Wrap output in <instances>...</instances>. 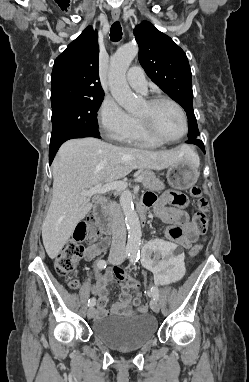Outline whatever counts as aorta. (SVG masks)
I'll use <instances>...</instances> for the list:
<instances>
[{
	"label": "aorta",
	"mask_w": 249,
	"mask_h": 382,
	"mask_svg": "<svg viewBox=\"0 0 249 382\" xmlns=\"http://www.w3.org/2000/svg\"><path fill=\"white\" fill-rule=\"evenodd\" d=\"M137 54L138 46L135 43H128L118 48L110 59L108 75L110 92L117 103L128 112H134L138 107V100L126 81L127 69ZM120 203L128 229L126 250L131 255L136 256L140 253L142 232L131 193L124 192L121 195Z\"/></svg>",
	"instance_id": "aorta-1"
}]
</instances>
